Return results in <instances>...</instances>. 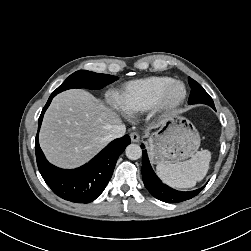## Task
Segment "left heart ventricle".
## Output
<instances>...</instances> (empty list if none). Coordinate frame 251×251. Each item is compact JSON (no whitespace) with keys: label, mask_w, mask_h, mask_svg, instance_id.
<instances>
[{"label":"left heart ventricle","mask_w":251,"mask_h":251,"mask_svg":"<svg viewBox=\"0 0 251 251\" xmlns=\"http://www.w3.org/2000/svg\"><path fill=\"white\" fill-rule=\"evenodd\" d=\"M181 93H182V89L180 87H175L170 93V98L176 99L181 95Z\"/></svg>","instance_id":"b2bd125f"}]
</instances>
